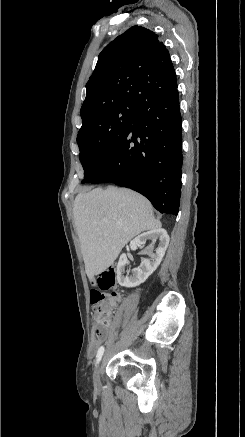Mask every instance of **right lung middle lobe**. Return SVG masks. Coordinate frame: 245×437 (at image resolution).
Returning a JSON list of instances; mask_svg holds the SVG:
<instances>
[{
    "instance_id": "dd1d6c3e",
    "label": "right lung middle lobe",
    "mask_w": 245,
    "mask_h": 437,
    "mask_svg": "<svg viewBox=\"0 0 245 437\" xmlns=\"http://www.w3.org/2000/svg\"><path fill=\"white\" fill-rule=\"evenodd\" d=\"M135 109L134 104H115L99 110L82 122L77 136L79 158L84 169L82 183L114 150L128 128Z\"/></svg>"
}]
</instances>
